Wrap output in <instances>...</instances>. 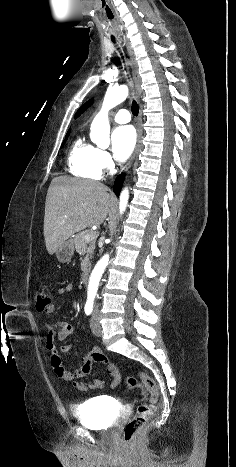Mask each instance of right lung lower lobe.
<instances>
[{
  "label": "right lung lower lobe",
  "mask_w": 236,
  "mask_h": 467,
  "mask_svg": "<svg viewBox=\"0 0 236 467\" xmlns=\"http://www.w3.org/2000/svg\"><path fill=\"white\" fill-rule=\"evenodd\" d=\"M122 183H123V175H120L118 176L114 184V192L116 193L117 196H119Z\"/></svg>",
  "instance_id": "obj_1"
}]
</instances>
